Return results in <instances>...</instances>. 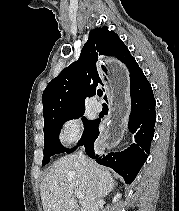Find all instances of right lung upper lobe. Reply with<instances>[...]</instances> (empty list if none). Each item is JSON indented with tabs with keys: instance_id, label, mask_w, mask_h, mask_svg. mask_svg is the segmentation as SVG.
I'll return each instance as SVG.
<instances>
[{
	"instance_id": "obj_1",
	"label": "right lung upper lobe",
	"mask_w": 179,
	"mask_h": 211,
	"mask_svg": "<svg viewBox=\"0 0 179 211\" xmlns=\"http://www.w3.org/2000/svg\"><path fill=\"white\" fill-rule=\"evenodd\" d=\"M112 57L126 65L130 78L140 69L114 31L108 27L93 29L78 61L65 68L44 90V124L54 117L84 110L85 97L106 80L107 62Z\"/></svg>"
}]
</instances>
